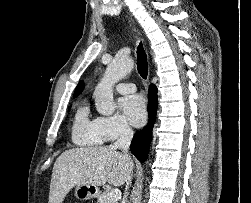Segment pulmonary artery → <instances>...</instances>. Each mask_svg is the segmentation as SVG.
Here are the masks:
<instances>
[{"mask_svg": "<svg viewBox=\"0 0 251 203\" xmlns=\"http://www.w3.org/2000/svg\"><path fill=\"white\" fill-rule=\"evenodd\" d=\"M115 88L120 93H131L136 90L135 84L123 82L118 83Z\"/></svg>", "mask_w": 251, "mask_h": 203, "instance_id": "e3ab8cb5", "label": "pulmonary artery"}]
</instances>
